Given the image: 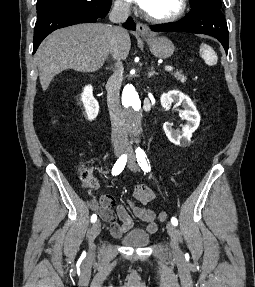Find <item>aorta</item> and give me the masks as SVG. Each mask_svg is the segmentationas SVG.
Instances as JSON below:
<instances>
[{
  "label": "aorta",
  "instance_id": "1",
  "mask_svg": "<svg viewBox=\"0 0 255 287\" xmlns=\"http://www.w3.org/2000/svg\"><path fill=\"white\" fill-rule=\"evenodd\" d=\"M122 100L127 112L130 114L131 123L135 124L133 129H138L141 114V101L132 84H127L124 87L122 92Z\"/></svg>",
  "mask_w": 255,
  "mask_h": 287
}]
</instances>
